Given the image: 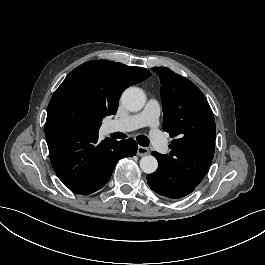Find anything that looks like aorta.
<instances>
[{
	"instance_id": "aorta-1",
	"label": "aorta",
	"mask_w": 265,
	"mask_h": 265,
	"mask_svg": "<svg viewBox=\"0 0 265 265\" xmlns=\"http://www.w3.org/2000/svg\"><path fill=\"white\" fill-rule=\"evenodd\" d=\"M122 105L130 112L141 110L146 103V94L141 88L129 87L121 96ZM140 168L146 174L154 173L158 168V162L154 156L146 155L140 160Z\"/></svg>"
}]
</instances>
